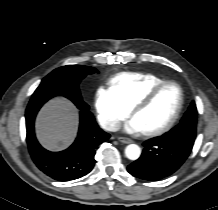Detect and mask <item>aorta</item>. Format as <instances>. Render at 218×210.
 Listing matches in <instances>:
<instances>
[{
  "label": "aorta",
  "instance_id": "762f6f07",
  "mask_svg": "<svg viewBox=\"0 0 218 210\" xmlns=\"http://www.w3.org/2000/svg\"><path fill=\"white\" fill-rule=\"evenodd\" d=\"M125 155L130 160H137L141 155V149L136 144H129L125 148Z\"/></svg>",
  "mask_w": 218,
  "mask_h": 210
}]
</instances>
